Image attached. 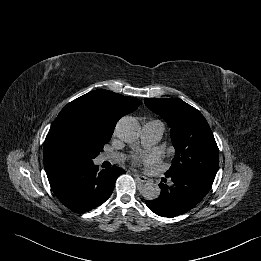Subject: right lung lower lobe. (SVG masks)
Segmentation results:
<instances>
[{"instance_id": "1", "label": "right lung lower lobe", "mask_w": 261, "mask_h": 261, "mask_svg": "<svg viewBox=\"0 0 261 261\" xmlns=\"http://www.w3.org/2000/svg\"><path fill=\"white\" fill-rule=\"evenodd\" d=\"M123 173L116 166L100 171L90 162L56 168L47 177L55 196L72 211L83 213L104 203Z\"/></svg>"}]
</instances>
